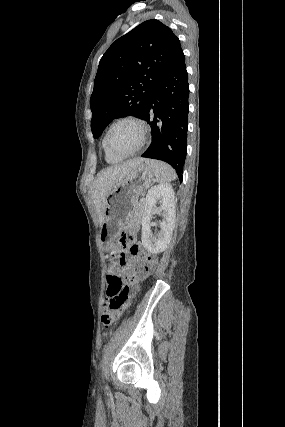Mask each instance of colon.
Here are the masks:
<instances>
[{
	"label": "colon",
	"mask_w": 285,
	"mask_h": 427,
	"mask_svg": "<svg viewBox=\"0 0 285 427\" xmlns=\"http://www.w3.org/2000/svg\"><path fill=\"white\" fill-rule=\"evenodd\" d=\"M130 238L131 233L126 232L111 244L110 260L114 261L120 257L119 250L128 245ZM130 253L140 259L141 264L137 268L131 269L126 262H121V269L128 275L129 284L126 283L124 276L120 273L110 271L107 276L109 293L103 301L104 312L101 317L102 325L106 331L112 329L119 309L131 297L133 285L152 271L153 263L151 258L142 256L141 249L137 244L130 246Z\"/></svg>",
	"instance_id": "1"
}]
</instances>
